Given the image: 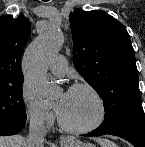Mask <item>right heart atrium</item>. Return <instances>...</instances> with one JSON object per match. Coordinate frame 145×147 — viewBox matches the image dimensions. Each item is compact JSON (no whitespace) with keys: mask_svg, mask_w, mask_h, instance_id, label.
<instances>
[{"mask_svg":"<svg viewBox=\"0 0 145 147\" xmlns=\"http://www.w3.org/2000/svg\"><path fill=\"white\" fill-rule=\"evenodd\" d=\"M21 102L27 119L39 127L52 126L55 115L52 110L43 104L34 90L27 84L21 88Z\"/></svg>","mask_w":145,"mask_h":147,"instance_id":"d8ad5b80","label":"right heart atrium"}]
</instances>
